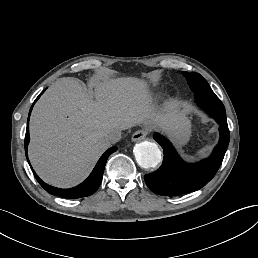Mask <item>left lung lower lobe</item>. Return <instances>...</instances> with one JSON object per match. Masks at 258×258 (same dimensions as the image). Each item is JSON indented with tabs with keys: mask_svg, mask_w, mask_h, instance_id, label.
Returning a JSON list of instances; mask_svg holds the SVG:
<instances>
[{
	"mask_svg": "<svg viewBox=\"0 0 258 258\" xmlns=\"http://www.w3.org/2000/svg\"><path fill=\"white\" fill-rule=\"evenodd\" d=\"M195 102L219 125L220 139L209 158L197 163L184 162L172 144L161 134L154 139L163 148L162 166L155 172L146 174L144 180L151 191L164 196H175L193 192L205 186L219 169L229 144V129L226 111L210 86L194 89Z\"/></svg>",
	"mask_w": 258,
	"mask_h": 258,
	"instance_id": "0a47b994",
	"label": "left lung lower lobe"
}]
</instances>
